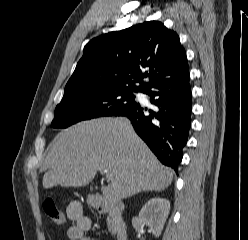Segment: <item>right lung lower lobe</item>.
<instances>
[{
	"instance_id": "right-lung-lower-lobe-1",
	"label": "right lung lower lobe",
	"mask_w": 248,
	"mask_h": 240,
	"mask_svg": "<svg viewBox=\"0 0 248 240\" xmlns=\"http://www.w3.org/2000/svg\"><path fill=\"white\" fill-rule=\"evenodd\" d=\"M143 93L148 94L150 102L158 107L156 112L149 110L148 114V109L137 103L115 116L128 117L157 158L177 173L191 126L189 69L152 85Z\"/></svg>"
}]
</instances>
